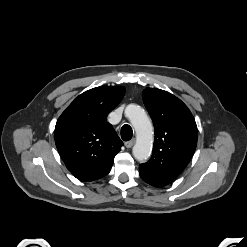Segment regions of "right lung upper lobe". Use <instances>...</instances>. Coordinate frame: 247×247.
Segmentation results:
<instances>
[{
  "mask_svg": "<svg viewBox=\"0 0 247 247\" xmlns=\"http://www.w3.org/2000/svg\"><path fill=\"white\" fill-rule=\"evenodd\" d=\"M124 93L122 86L90 89L75 98L57 120L56 147L77 179L93 181L110 172L123 142L106 118Z\"/></svg>",
  "mask_w": 247,
  "mask_h": 247,
  "instance_id": "cb5924a9",
  "label": "right lung upper lobe"
}]
</instances>
